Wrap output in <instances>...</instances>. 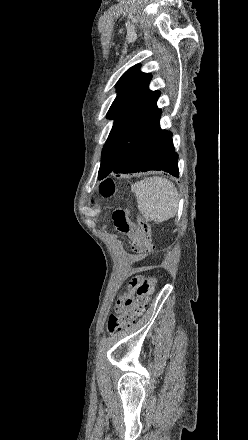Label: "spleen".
Wrapping results in <instances>:
<instances>
[{
  "label": "spleen",
  "instance_id": "obj_1",
  "mask_svg": "<svg viewBox=\"0 0 248 440\" xmlns=\"http://www.w3.org/2000/svg\"><path fill=\"white\" fill-rule=\"evenodd\" d=\"M131 190L136 195L138 210L148 221L162 223L176 215L178 191L168 179L146 178L132 185Z\"/></svg>",
  "mask_w": 248,
  "mask_h": 440
}]
</instances>
